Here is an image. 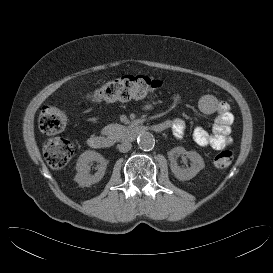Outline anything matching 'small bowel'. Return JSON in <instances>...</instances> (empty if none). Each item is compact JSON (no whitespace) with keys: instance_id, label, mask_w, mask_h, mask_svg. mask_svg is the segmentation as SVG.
<instances>
[{"instance_id":"obj_1","label":"small bowel","mask_w":273,"mask_h":273,"mask_svg":"<svg viewBox=\"0 0 273 273\" xmlns=\"http://www.w3.org/2000/svg\"><path fill=\"white\" fill-rule=\"evenodd\" d=\"M145 110H152V105H144ZM199 109L204 114H216L211 131L202 127L193 130V139L200 147H211L220 150L232 143L230 137V125L233 122V114L227 102L218 99L214 95L207 94L200 98ZM165 127L172 131L173 135L181 139L186 132V124L181 118H173L165 121Z\"/></svg>"}]
</instances>
